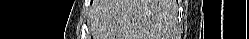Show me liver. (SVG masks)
Masks as SVG:
<instances>
[{
	"instance_id": "6515ba94",
	"label": "liver",
	"mask_w": 249,
	"mask_h": 39,
	"mask_svg": "<svg viewBox=\"0 0 249 39\" xmlns=\"http://www.w3.org/2000/svg\"><path fill=\"white\" fill-rule=\"evenodd\" d=\"M172 0H100L94 4L93 39H165Z\"/></svg>"
}]
</instances>
